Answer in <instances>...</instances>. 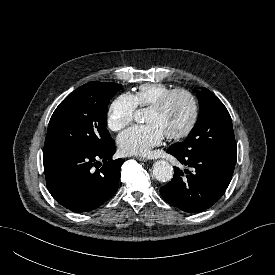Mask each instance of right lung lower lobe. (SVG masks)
Returning a JSON list of instances; mask_svg holds the SVG:
<instances>
[{
  "label": "right lung lower lobe",
  "instance_id": "right-lung-lower-lobe-1",
  "mask_svg": "<svg viewBox=\"0 0 275 275\" xmlns=\"http://www.w3.org/2000/svg\"><path fill=\"white\" fill-rule=\"evenodd\" d=\"M115 151L114 141L98 152L44 150V173L52 197L73 212L100 207L118 188L124 160H113Z\"/></svg>",
  "mask_w": 275,
  "mask_h": 275
}]
</instances>
